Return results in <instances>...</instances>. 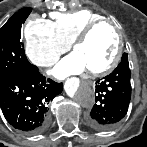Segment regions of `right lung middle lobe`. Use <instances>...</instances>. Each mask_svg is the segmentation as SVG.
<instances>
[{"instance_id": "1", "label": "right lung middle lobe", "mask_w": 147, "mask_h": 147, "mask_svg": "<svg viewBox=\"0 0 147 147\" xmlns=\"http://www.w3.org/2000/svg\"><path fill=\"white\" fill-rule=\"evenodd\" d=\"M30 12V8L19 10L0 29V79L34 66L28 62L20 41L22 24Z\"/></svg>"}]
</instances>
